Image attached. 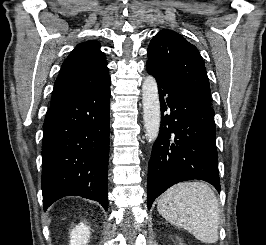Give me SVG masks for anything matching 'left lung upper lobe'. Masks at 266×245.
I'll list each match as a JSON object with an SVG mask.
<instances>
[{
	"mask_svg": "<svg viewBox=\"0 0 266 245\" xmlns=\"http://www.w3.org/2000/svg\"><path fill=\"white\" fill-rule=\"evenodd\" d=\"M147 64L211 104L209 81L197 48L180 34L163 29L151 40Z\"/></svg>",
	"mask_w": 266,
	"mask_h": 245,
	"instance_id": "left-lung-upper-lobe-1",
	"label": "left lung upper lobe"
}]
</instances>
